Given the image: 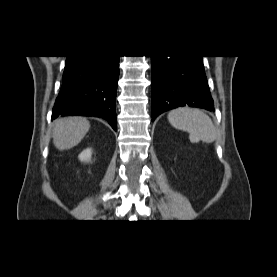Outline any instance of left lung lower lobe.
Listing matches in <instances>:
<instances>
[{"label":"left lung lower lobe","mask_w":277,"mask_h":277,"mask_svg":"<svg viewBox=\"0 0 277 277\" xmlns=\"http://www.w3.org/2000/svg\"><path fill=\"white\" fill-rule=\"evenodd\" d=\"M151 67L152 121L179 106L214 111L202 56H151Z\"/></svg>","instance_id":"obj_1"}]
</instances>
